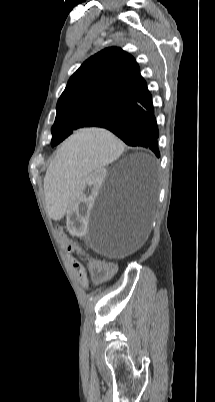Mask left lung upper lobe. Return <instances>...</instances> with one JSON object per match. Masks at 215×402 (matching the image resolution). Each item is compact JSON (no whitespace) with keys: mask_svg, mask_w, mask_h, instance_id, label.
I'll return each mask as SVG.
<instances>
[{"mask_svg":"<svg viewBox=\"0 0 215 402\" xmlns=\"http://www.w3.org/2000/svg\"><path fill=\"white\" fill-rule=\"evenodd\" d=\"M146 82L135 59L118 47L87 59L71 76L57 102L51 145L82 127H94L132 100Z\"/></svg>","mask_w":215,"mask_h":402,"instance_id":"1","label":"left lung upper lobe"}]
</instances>
